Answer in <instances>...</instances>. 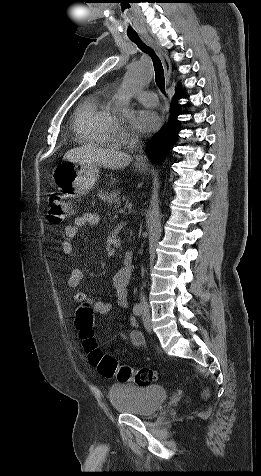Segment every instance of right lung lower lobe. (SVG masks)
I'll use <instances>...</instances> for the list:
<instances>
[{
    "instance_id": "98d812e1",
    "label": "right lung lower lobe",
    "mask_w": 261,
    "mask_h": 476,
    "mask_svg": "<svg viewBox=\"0 0 261 476\" xmlns=\"http://www.w3.org/2000/svg\"><path fill=\"white\" fill-rule=\"evenodd\" d=\"M170 110L171 114L169 124L155 134L147 149V155L155 163H159L162 160L163 156L177 140L178 132L180 130V124L177 121L180 110L178 95H176Z\"/></svg>"
}]
</instances>
